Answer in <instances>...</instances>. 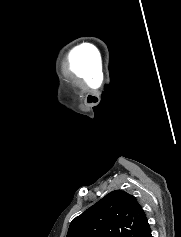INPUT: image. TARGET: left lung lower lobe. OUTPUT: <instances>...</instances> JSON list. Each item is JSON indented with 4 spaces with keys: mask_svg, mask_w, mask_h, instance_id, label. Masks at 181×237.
Masks as SVG:
<instances>
[{
    "mask_svg": "<svg viewBox=\"0 0 181 237\" xmlns=\"http://www.w3.org/2000/svg\"><path fill=\"white\" fill-rule=\"evenodd\" d=\"M140 237H152L149 226L141 233Z\"/></svg>",
    "mask_w": 181,
    "mask_h": 237,
    "instance_id": "0a47b994",
    "label": "left lung lower lobe"
}]
</instances>
